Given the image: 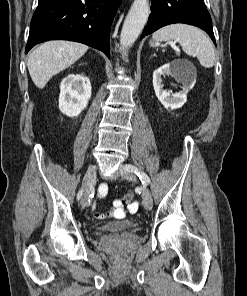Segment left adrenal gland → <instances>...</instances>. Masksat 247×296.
I'll use <instances>...</instances> for the list:
<instances>
[{"label": "left adrenal gland", "instance_id": "obj_1", "mask_svg": "<svg viewBox=\"0 0 247 296\" xmlns=\"http://www.w3.org/2000/svg\"><path fill=\"white\" fill-rule=\"evenodd\" d=\"M156 56V54H153L152 57Z\"/></svg>", "mask_w": 247, "mask_h": 296}]
</instances>
